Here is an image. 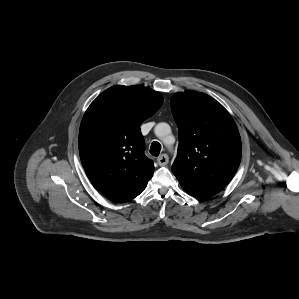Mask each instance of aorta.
<instances>
[{
  "instance_id": "1",
  "label": "aorta",
  "mask_w": 299,
  "mask_h": 299,
  "mask_svg": "<svg viewBox=\"0 0 299 299\" xmlns=\"http://www.w3.org/2000/svg\"><path fill=\"white\" fill-rule=\"evenodd\" d=\"M155 134L157 137L163 139L165 142L170 137L171 128L167 123H158L155 126Z\"/></svg>"
}]
</instances>
